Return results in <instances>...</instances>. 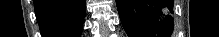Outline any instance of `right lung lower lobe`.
Listing matches in <instances>:
<instances>
[{
    "mask_svg": "<svg viewBox=\"0 0 219 37\" xmlns=\"http://www.w3.org/2000/svg\"><path fill=\"white\" fill-rule=\"evenodd\" d=\"M44 37H79L85 15L84 0H34Z\"/></svg>",
    "mask_w": 219,
    "mask_h": 37,
    "instance_id": "right-lung-lower-lobe-1",
    "label": "right lung lower lobe"
}]
</instances>
